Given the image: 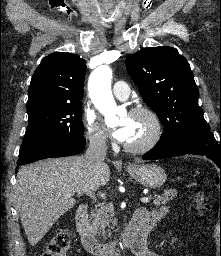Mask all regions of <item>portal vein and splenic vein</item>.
I'll use <instances>...</instances> for the list:
<instances>
[{"label": "portal vein and splenic vein", "mask_w": 221, "mask_h": 256, "mask_svg": "<svg viewBox=\"0 0 221 256\" xmlns=\"http://www.w3.org/2000/svg\"><path fill=\"white\" fill-rule=\"evenodd\" d=\"M100 196H101L103 199H105V195H104V194H100ZM140 201H141L142 203H149V202H150V198H149V197H142V198L140 199Z\"/></svg>", "instance_id": "portal-vein-and-splenic-vein-1"}]
</instances>
